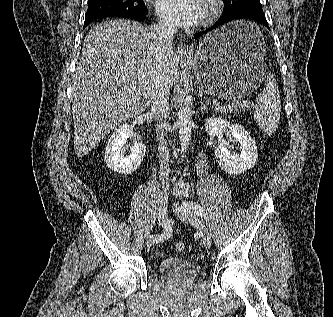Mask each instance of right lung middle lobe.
<instances>
[{"instance_id":"right-lung-middle-lobe-1","label":"right lung middle lobe","mask_w":333,"mask_h":317,"mask_svg":"<svg viewBox=\"0 0 333 317\" xmlns=\"http://www.w3.org/2000/svg\"><path fill=\"white\" fill-rule=\"evenodd\" d=\"M146 13L143 0H88L86 15L103 13Z\"/></svg>"}]
</instances>
